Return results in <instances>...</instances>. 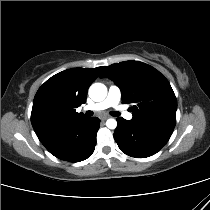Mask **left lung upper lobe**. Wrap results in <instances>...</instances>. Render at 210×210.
<instances>
[{
	"instance_id": "5c2ea615",
	"label": "left lung upper lobe",
	"mask_w": 210,
	"mask_h": 210,
	"mask_svg": "<svg viewBox=\"0 0 210 210\" xmlns=\"http://www.w3.org/2000/svg\"><path fill=\"white\" fill-rule=\"evenodd\" d=\"M100 77L112 79L121 89L122 103L133 105L131 122L174 129L177 100L158 70L139 61H126L104 66Z\"/></svg>"
}]
</instances>
